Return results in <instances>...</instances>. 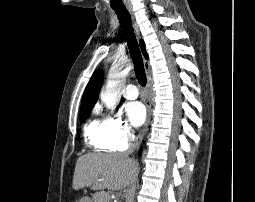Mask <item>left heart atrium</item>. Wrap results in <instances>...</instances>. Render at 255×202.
I'll return each mask as SVG.
<instances>
[{"label": "left heart atrium", "instance_id": "1", "mask_svg": "<svg viewBox=\"0 0 255 202\" xmlns=\"http://www.w3.org/2000/svg\"><path fill=\"white\" fill-rule=\"evenodd\" d=\"M127 117L132 125L140 126L146 117V110L142 103L138 101L129 102L125 106Z\"/></svg>", "mask_w": 255, "mask_h": 202}]
</instances>
